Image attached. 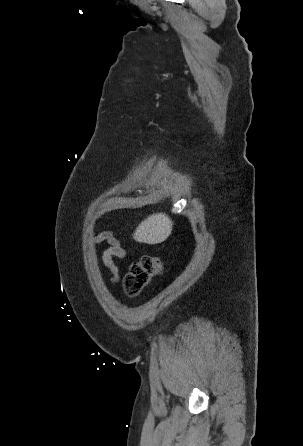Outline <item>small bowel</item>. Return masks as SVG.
I'll use <instances>...</instances> for the list:
<instances>
[{
	"label": "small bowel",
	"mask_w": 303,
	"mask_h": 446,
	"mask_svg": "<svg viewBox=\"0 0 303 446\" xmlns=\"http://www.w3.org/2000/svg\"><path fill=\"white\" fill-rule=\"evenodd\" d=\"M101 243H107L108 247L103 251L102 261L103 264L111 272V282L115 283L119 280V268L115 264L114 259H123L126 257V250L122 244L114 237L110 232H100L96 234L92 241L91 246L95 247ZM94 256V254H93ZM95 260V256H94Z\"/></svg>",
	"instance_id": "small-bowel-1"
}]
</instances>
